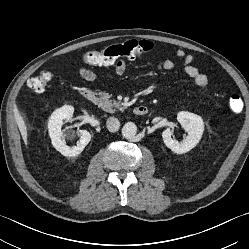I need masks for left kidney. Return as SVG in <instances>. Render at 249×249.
<instances>
[{
	"instance_id": "obj_1",
	"label": "left kidney",
	"mask_w": 249,
	"mask_h": 249,
	"mask_svg": "<svg viewBox=\"0 0 249 249\" xmlns=\"http://www.w3.org/2000/svg\"><path fill=\"white\" fill-rule=\"evenodd\" d=\"M177 121L187 131L186 139L182 143L172 139L170 128L162 132V138L165 145L174 153L184 154L194 148L200 141L204 131V123L200 116L187 111H180L177 114Z\"/></svg>"
}]
</instances>
